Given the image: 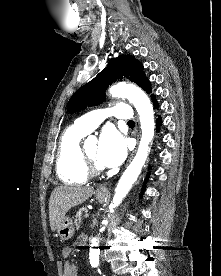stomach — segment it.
<instances>
[{"mask_svg": "<svg viewBox=\"0 0 221 276\" xmlns=\"http://www.w3.org/2000/svg\"><path fill=\"white\" fill-rule=\"evenodd\" d=\"M95 197L100 203H103L107 200L108 195L96 192ZM57 233L61 240H69L74 234L72 219L65 216L57 227Z\"/></svg>", "mask_w": 221, "mask_h": 276, "instance_id": "obj_1", "label": "stomach"}]
</instances>
